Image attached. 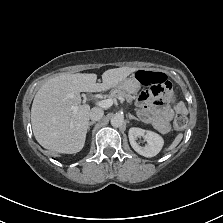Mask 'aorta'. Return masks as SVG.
<instances>
[{
	"instance_id": "1",
	"label": "aorta",
	"mask_w": 223,
	"mask_h": 223,
	"mask_svg": "<svg viewBox=\"0 0 223 223\" xmlns=\"http://www.w3.org/2000/svg\"><path fill=\"white\" fill-rule=\"evenodd\" d=\"M124 124V118L120 114H116L111 118V125L113 127H121Z\"/></svg>"
}]
</instances>
